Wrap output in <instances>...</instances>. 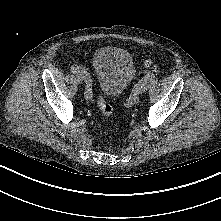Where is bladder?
I'll use <instances>...</instances> for the list:
<instances>
[{
  "mask_svg": "<svg viewBox=\"0 0 221 221\" xmlns=\"http://www.w3.org/2000/svg\"><path fill=\"white\" fill-rule=\"evenodd\" d=\"M93 66L100 90L111 98L122 94L135 75V65L131 55L115 46H105L96 50Z\"/></svg>",
  "mask_w": 221,
  "mask_h": 221,
  "instance_id": "bladder-1",
  "label": "bladder"
}]
</instances>
